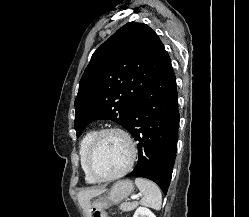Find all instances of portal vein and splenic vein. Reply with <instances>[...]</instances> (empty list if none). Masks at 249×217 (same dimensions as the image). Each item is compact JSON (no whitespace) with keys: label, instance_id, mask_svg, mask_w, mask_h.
<instances>
[{"label":"portal vein and splenic vein","instance_id":"1","mask_svg":"<svg viewBox=\"0 0 249 217\" xmlns=\"http://www.w3.org/2000/svg\"><path fill=\"white\" fill-rule=\"evenodd\" d=\"M140 195H135V196H132L131 199L135 200V199H138Z\"/></svg>","mask_w":249,"mask_h":217}]
</instances>
